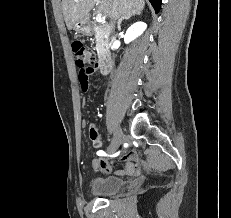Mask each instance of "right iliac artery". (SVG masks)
Listing matches in <instances>:
<instances>
[{"instance_id":"82829eb1","label":"right iliac artery","mask_w":231,"mask_h":218,"mask_svg":"<svg viewBox=\"0 0 231 218\" xmlns=\"http://www.w3.org/2000/svg\"><path fill=\"white\" fill-rule=\"evenodd\" d=\"M97 155H99V156H107V154L104 151H102V150H99L97 152ZM118 155H119V152H117L116 154L112 155V157H116Z\"/></svg>"}]
</instances>
